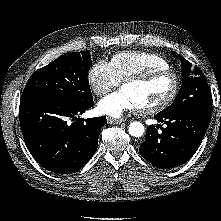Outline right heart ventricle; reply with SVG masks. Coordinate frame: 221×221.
Wrapping results in <instances>:
<instances>
[{
  "mask_svg": "<svg viewBox=\"0 0 221 221\" xmlns=\"http://www.w3.org/2000/svg\"><path fill=\"white\" fill-rule=\"evenodd\" d=\"M109 64L120 82L129 76L149 70L170 68L169 62L162 56L152 52L134 50L114 54Z\"/></svg>",
  "mask_w": 221,
  "mask_h": 221,
  "instance_id": "right-heart-ventricle-1",
  "label": "right heart ventricle"
}]
</instances>
